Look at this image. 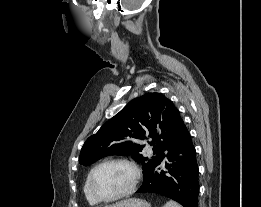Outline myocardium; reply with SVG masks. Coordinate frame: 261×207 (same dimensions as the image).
Segmentation results:
<instances>
[{"label":"myocardium","instance_id":"myocardium-1","mask_svg":"<svg viewBox=\"0 0 261 207\" xmlns=\"http://www.w3.org/2000/svg\"><path fill=\"white\" fill-rule=\"evenodd\" d=\"M109 164H123V165L128 166L133 172V180H132V183L129 186V188L126 189L125 191H123L115 196L105 198V197L100 196L95 189V176L102 167L109 165ZM140 177H141L140 169L133 161L124 159V158L108 159V160H105V161L99 163L91 170V173L89 176V190H90V193L93 196V198L100 203L114 202V201H117L119 199H122L124 197L131 195L136 190L137 185L140 181Z\"/></svg>","mask_w":261,"mask_h":207}]
</instances>
